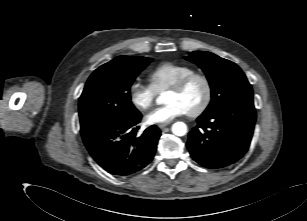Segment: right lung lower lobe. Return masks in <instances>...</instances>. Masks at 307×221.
Returning a JSON list of instances; mask_svg holds the SVG:
<instances>
[{
  "label": "right lung lower lobe",
  "instance_id": "98d812e1",
  "mask_svg": "<svg viewBox=\"0 0 307 221\" xmlns=\"http://www.w3.org/2000/svg\"><path fill=\"white\" fill-rule=\"evenodd\" d=\"M141 118L139 113L123 122L104 124L82 136L90 155L110 174L128 176L151 162L160 130L153 125L137 137V124Z\"/></svg>",
  "mask_w": 307,
  "mask_h": 221
}]
</instances>
